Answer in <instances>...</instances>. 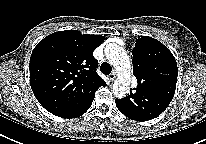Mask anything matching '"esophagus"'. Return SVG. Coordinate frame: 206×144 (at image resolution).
Listing matches in <instances>:
<instances>
[{
  "mask_svg": "<svg viewBox=\"0 0 206 144\" xmlns=\"http://www.w3.org/2000/svg\"><path fill=\"white\" fill-rule=\"evenodd\" d=\"M115 78H116V73L115 72H112L110 75H109V79H110V81H114L115 80Z\"/></svg>",
  "mask_w": 206,
  "mask_h": 144,
  "instance_id": "esophagus-1",
  "label": "esophagus"
}]
</instances>
